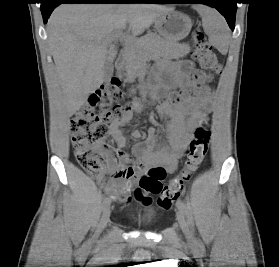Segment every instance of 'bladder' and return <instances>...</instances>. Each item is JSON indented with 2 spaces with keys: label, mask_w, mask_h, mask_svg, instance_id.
Instances as JSON below:
<instances>
[{
  "label": "bladder",
  "mask_w": 279,
  "mask_h": 267,
  "mask_svg": "<svg viewBox=\"0 0 279 267\" xmlns=\"http://www.w3.org/2000/svg\"><path fill=\"white\" fill-rule=\"evenodd\" d=\"M142 223H144V224H148L149 222H147V221H142Z\"/></svg>",
  "instance_id": "bladder-1"
}]
</instances>
